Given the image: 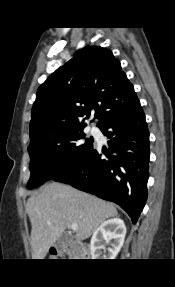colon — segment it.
I'll list each match as a JSON object with an SVG mask.
<instances>
[{"label": "colon", "mask_w": 175, "mask_h": 287, "mask_svg": "<svg viewBox=\"0 0 175 287\" xmlns=\"http://www.w3.org/2000/svg\"><path fill=\"white\" fill-rule=\"evenodd\" d=\"M73 247H77L78 249H80L81 250V247L80 246H73ZM52 254L55 256V255H57V253L56 252H52Z\"/></svg>", "instance_id": "5ec220e1"}]
</instances>
